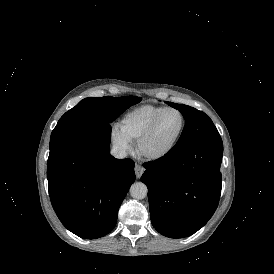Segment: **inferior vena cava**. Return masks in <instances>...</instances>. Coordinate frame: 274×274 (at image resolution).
Instances as JSON below:
<instances>
[{
    "label": "inferior vena cava",
    "instance_id": "inferior-vena-cava-1",
    "mask_svg": "<svg viewBox=\"0 0 274 274\" xmlns=\"http://www.w3.org/2000/svg\"><path fill=\"white\" fill-rule=\"evenodd\" d=\"M111 155L118 159H123L127 156L126 150L118 145H114L111 149Z\"/></svg>",
    "mask_w": 274,
    "mask_h": 274
}]
</instances>
